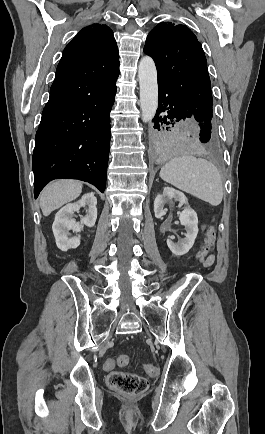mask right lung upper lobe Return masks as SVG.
<instances>
[{"label": "right lung upper lobe", "mask_w": 265, "mask_h": 434, "mask_svg": "<svg viewBox=\"0 0 265 434\" xmlns=\"http://www.w3.org/2000/svg\"><path fill=\"white\" fill-rule=\"evenodd\" d=\"M108 55L118 48L112 30L103 24H92L82 30L65 47L63 54Z\"/></svg>", "instance_id": "cb5924a9"}]
</instances>
